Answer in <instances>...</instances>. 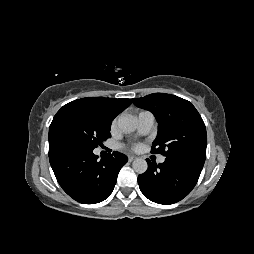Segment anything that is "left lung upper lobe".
I'll return each mask as SVG.
<instances>
[{
  "label": "left lung upper lobe",
  "mask_w": 254,
  "mask_h": 254,
  "mask_svg": "<svg viewBox=\"0 0 254 254\" xmlns=\"http://www.w3.org/2000/svg\"><path fill=\"white\" fill-rule=\"evenodd\" d=\"M132 102L152 112L158 122V135L153 142L152 153H161L166 157L206 159V128L192 103L165 93L133 98Z\"/></svg>",
  "instance_id": "1"
}]
</instances>
